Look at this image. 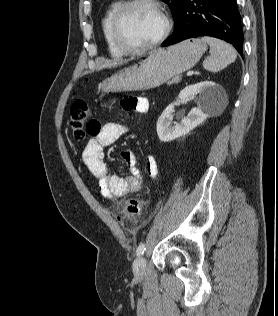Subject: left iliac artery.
<instances>
[{
	"instance_id": "left-iliac-artery-1",
	"label": "left iliac artery",
	"mask_w": 278,
	"mask_h": 316,
	"mask_svg": "<svg viewBox=\"0 0 278 316\" xmlns=\"http://www.w3.org/2000/svg\"><path fill=\"white\" fill-rule=\"evenodd\" d=\"M145 250H146L145 243H140V245L138 246L136 250L137 256L142 255L145 252Z\"/></svg>"
}]
</instances>
